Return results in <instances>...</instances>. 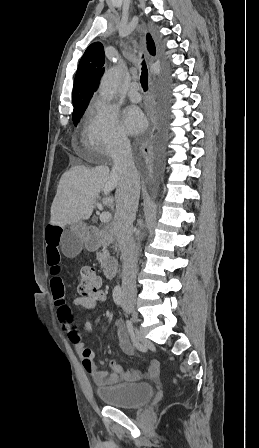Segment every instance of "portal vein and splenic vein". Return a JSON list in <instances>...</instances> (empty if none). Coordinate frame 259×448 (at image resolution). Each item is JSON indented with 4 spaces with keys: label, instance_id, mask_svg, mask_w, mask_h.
I'll return each mask as SVG.
<instances>
[{
    "label": "portal vein and splenic vein",
    "instance_id": "1",
    "mask_svg": "<svg viewBox=\"0 0 259 448\" xmlns=\"http://www.w3.org/2000/svg\"><path fill=\"white\" fill-rule=\"evenodd\" d=\"M112 216L111 214H109V212H102V214H100V222H103V224H108V222H110Z\"/></svg>",
    "mask_w": 259,
    "mask_h": 448
}]
</instances>
